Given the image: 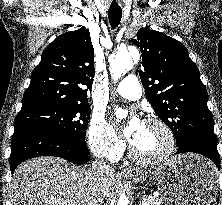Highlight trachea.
Listing matches in <instances>:
<instances>
[{
    "mask_svg": "<svg viewBox=\"0 0 222 205\" xmlns=\"http://www.w3.org/2000/svg\"><path fill=\"white\" fill-rule=\"evenodd\" d=\"M108 17L111 27L116 28L122 18V9L120 7H110L108 10Z\"/></svg>",
    "mask_w": 222,
    "mask_h": 205,
    "instance_id": "3493384b",
    "label": "trachea"
}]
</instances>
